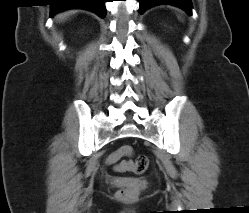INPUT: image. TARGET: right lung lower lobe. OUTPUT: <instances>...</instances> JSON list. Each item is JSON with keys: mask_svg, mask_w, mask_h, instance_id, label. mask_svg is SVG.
<instances>
[{"mask_svg": "<svg viewBox=\"0 0 249 213\" xmlns=\"http://www.w3.org/2000/svg\"><path fill=\"white\" fill-rule=\"evenodd\" d=\"M105 2L106 0H53L51 15L70 8H82L90 10L98 14L101 18H104L106 13Z\"/></svg>", "mask_w": 249, "mask_h": 213, "instance_id": "right-lung-lower-lobe-1", "label": "right lung lower lobe"}]
</instances>
